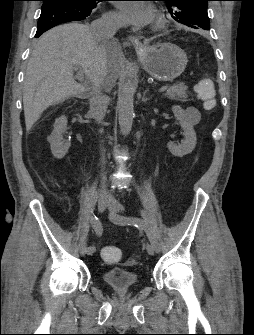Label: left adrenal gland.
Segmentation results:
<instances>
[{
    "label": "left adrenal gland",
    "instance_id": "1",
    "mask_svg": "<svg viewBox=\"0 0 254 335\" xmlns=\"http://www.w3.org/2000/svg\"><path fill=\"white\" fill-rule=\"evenodd\" d=\"M147 91H148V90H146V91L144 92V94H143V98H142V100H143L144 102H146V101L148 100V98H146V93H147Z\"/></svg>",
    "mask_w": 254,
    "mask_h": 335
}]
</instances>
